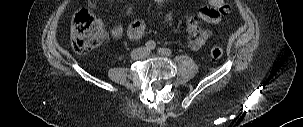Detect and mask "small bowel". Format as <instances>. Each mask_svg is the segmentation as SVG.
<instances>
[{
    "instance_id": "1",
    "label": "small bowel",
    "mask_w": 303,
    "mask_h": 127,
    "mask_svg": "<svg viewBox=\"0 0 303 127\" xmlns=\"http://www.w3.org/2000/svg\"><path fill=\"white\" fill-rule=\"evenodd\" d=\"M158 7L164 6L166 0H153ZM100 0H90L88 9L96 10L99 7ZM208 5L201 8L198 12V18L210 24L219 22L222 15L229 12L228 6L224 0H207ZM186 31L190 36L189 46L192 50L200 49L212 36V31L201 29L196 18H190L186 24ZM124 28L122 24L116 23L111 27L110 33L113 37L122 36ZM145 33V23L142 19H135L128 27L127 35L133 41L142 39Z\"/></svg>"
}]
</instances>
